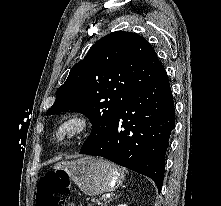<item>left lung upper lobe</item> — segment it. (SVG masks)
<instances>
[{
	"label": "left lung upper lobe",
	"instance_id": "1",
	"mask_svg": "<svg viewBox=\"0 0 221 206\" xmlns=\"http://www.w3.org/2000/svg\"><path fill=\"white\" fill-rule=\"evenodd\" d=\"M163 73L146 39L124 31L110 33L72 67L46 114L77 110L87 116L92 131L83 149L102 137L127 102Z\"/></svg>",
	"mask_w": 221,
	"mask_h": 206
}]
</instances>
